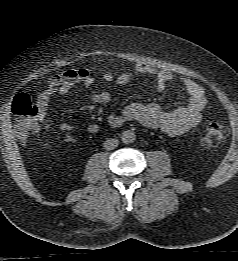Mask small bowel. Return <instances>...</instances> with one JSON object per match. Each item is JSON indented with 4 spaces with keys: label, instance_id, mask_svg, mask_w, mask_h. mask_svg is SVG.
I'll return each mask as SVG.
<instances>
[{
    "label": "small bowel",
    "instance_id": "1",
    "mask_svg": "<svg viewBox=\"0 0 238 261\" xmlns=\"http://www.w3.org/2000/svg\"><path fill=\"white\" fill-rule=\"evenodd\" d=\"M135 74L153 78L158 91H162L169 82L178 80L188 94L187 103L172 111H165L156 103H132L126 106L120 114L108 116V123L112 128H118L126 122L135 121L147 128L160 130L169 136H178L199 124L207 99L204 88L191 78L176 76L170 71L158 70L145 63H137L134 72H125L117 77L108 72L103 75V81L106 85H122L131 80ZM80 83L87 87L94 84L93 77L86 69L73 70L72 75L57 76L38 95L36 102L38 123L45 131L51 130L47 121V112L53 97L67 94ZM91 98L95 102L107 106L111 99V93L109 88L105 87L91 92ZM72 129L73 126L68 122L60 125V130L63 132H70ZM99 129L97 123H91L87 126V131L90 134L97 133Z\"/></svg>",
    "mask_w": 238,
    "mask_h": 261
}]
</instances>
